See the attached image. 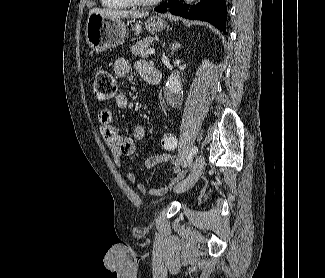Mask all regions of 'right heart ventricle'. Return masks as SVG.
<instances>
[{
  "label": "right heart ventricle",
  "mask_w": 325,
  "mask_h": 278,
  "mask_svg": "<svg viewBox=\"0 0 325 278\" xmlns=\"http://www.w3.org/2000/svg\"><path fill=\"white\" fill-rule=\"evenodd\" d=\"M102 6L113 9L122 10L131 7L127 0H100Z\"/></svg>",
  "instance_id": "right-heart-ventricle-1"
}]
</instances>
